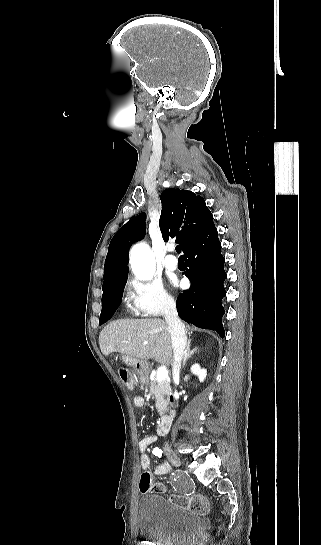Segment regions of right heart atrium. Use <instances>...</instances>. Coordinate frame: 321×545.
I'll return each mask as SVG.
<instances>
[{"label": "right heart atrium", "instance_id": "1", "mask_svg": "<svg viewBox=\"0 0 321 545\" xmlns=\"http://www.w3.org/2000/svg\"><path fill=\"white\" fill-rule=\"evenodd\" d=\"M126 297L134 315L159 317L176 306L175 299L163 288L156 276L146 279L131 278L125 289Z\"/></svg>", "mask_w": 321, "mask_h": 545}]
</instances>
